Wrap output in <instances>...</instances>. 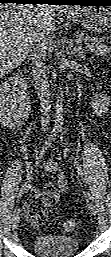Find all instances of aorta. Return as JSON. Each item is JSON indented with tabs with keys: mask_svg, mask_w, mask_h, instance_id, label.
Instances as JSON below:
<instances>
[{
	"mask_svg": "<svg viewBox=\"0 0 111 257\" xmlns=\"http://www.w3.org/2000/svg\"><path fill=\"white\" fill-rule=\"evenodd\" d=\"M55 108H56V114H57V121H59V118L61 117V112L63 110L62 92H58Z\"/></svg>",
	"mask_w": 111,
	"mask_h": 257,
	"instance_id": "1",
	"label": "aorta"
}]
</instances>
